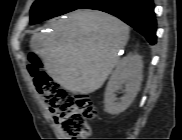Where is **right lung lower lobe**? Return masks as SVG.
Returning a JSON list of instances; mask_svg holds the SVG:
<instances>
[{
    "label": "right lung lower lobe",
    "instance_id": "obj_1",
    "mask_svg": "<svg viewBox=\"0 0 182 140\" xmlns=\"http://www.w3.org/2000/svg\"><path fill=\"white\" fill-rule=\"evenodd\" d=\"M78 9H94L112 14L145 36L151 45L156 43L153 0H88Z\"/></svg>",
    "mask_w": 182,
    "mask_h": 140
}]
</instances>
